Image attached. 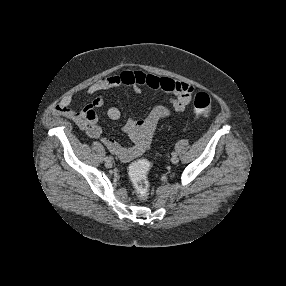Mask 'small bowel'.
<instances>
[{
  "instance_id": "1",
  "label": "small bowel",
  "mask_w": 286,
  "mask_h": 286,
  "mask_svg": "<svg viewBox=\"0 0 286 286\" xmlns=\"http://www.w3.org/2000/svg\"><path fill=\"white\" fill-rule=\"evenodd\" d=\"M122 86H130L136 93H140L142 87H148L168 94L171 98L173 111L177 114H181L186 110L194 92L192 85L170 77L146 74L139 70H123L103 77L93 83L87 89L86 95L92 96L100 91L117 89ZM103 103V99L97 97L94 99L93 104L87 105L81 111H78L73 106L72 96L68 95L63 98L56 108V113L64 115L74 121L79 127L86 131L90 138L100 140L113 155L123 162H129L143 154L150 146L158 123L162 119L173 115V112L166 107L156 106L151 109L144 119H129L123 129L132 140L133 145L125 147L103 136L94 109L96 106L103 105ZM107 116L111 120H118L121 116V111L117 106H110L107 109Z\"/></svg>"
}]
</instances>
